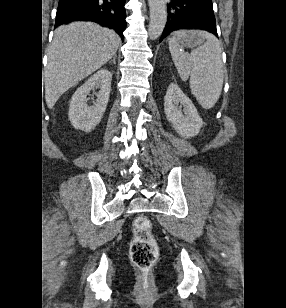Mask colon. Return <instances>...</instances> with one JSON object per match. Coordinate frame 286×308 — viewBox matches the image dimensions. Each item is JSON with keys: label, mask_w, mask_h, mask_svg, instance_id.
Instances as JSON below:
<instances>
[{"label": "colon", "mask_w": 286, "mask_h": 308, "mask_svg": "<svg viewBox=\"0 0 286 308\" xmlns=\"http://www.w3.org/2000/svg\"><path fill=\"white\" fill-rule=\"evenodd\" d=\"M134 237L130 245V257L141 271H148L156 262L159 247L152 236V223L146 216H138L133 223Z\"/></svg>", "instance_id": "colon-1"}]
</instances>
